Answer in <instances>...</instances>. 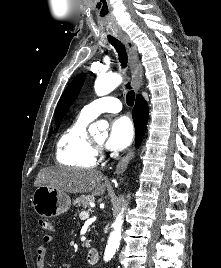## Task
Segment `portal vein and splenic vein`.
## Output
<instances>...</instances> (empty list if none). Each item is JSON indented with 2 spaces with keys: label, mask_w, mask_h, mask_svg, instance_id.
<instances>
[{
  "label": "portal vein and splenic vein",
  "mask_w": 221,
  "mask_h": 268,
  "mask_svg": "<svg viewBox=\"0 0 221 268\" xmlns=\"http://www.w3.org/2000/svg\"><path fill=\"white\" fill-rule=\"evenodd\" d=\"M79 216H80L81 219H88L89 218V212L82 211Z\"/></svg>",
  "instance_id": "portal-vein-and-splenic-vein-1"
}]
</instances>
